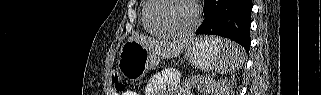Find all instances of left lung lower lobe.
Listing matches in <instances>:
<instances>
[{"label": "left lung lower lobe", "instance_id": "left-lung-lower-lobe-1", "mask_svg": "<svg viewBox=\"0 0 321 95\" xmlns=\"http://www.w3.org/2000/svg\"><path fill=\"white\" fill-rule=\"evenodd\" d=\"M251 0H205L204 21L196 34H214L230 38L249 50Z\"/></svg>", "mask_w": 321, "mask_h": 95}]
</instances>
